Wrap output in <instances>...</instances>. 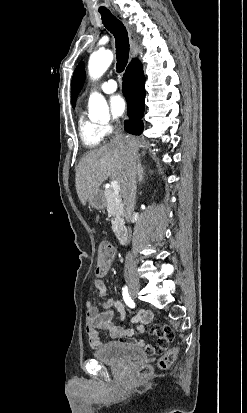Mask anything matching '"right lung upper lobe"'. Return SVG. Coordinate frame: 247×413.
Returning <instances> with one entry per match:
<instances>
[{
	"label": "right lung upper lobe",
	"mask_w": 247,
	"mask_h": 413,
	"mask_svg": "<svg viewBox=\"0 0 247 413\" xmlns=\"http://www.w3.org/2000/svg\"><path fill=\"white\" fill-rule=\"evenodd\" d=\"M142 70V64L138 60H132L128 65L124 75L136 73Z\"/></svg>",
	"instance_id": "cb5924a9"
}]
</instances>
